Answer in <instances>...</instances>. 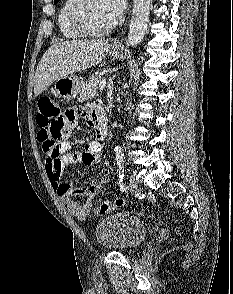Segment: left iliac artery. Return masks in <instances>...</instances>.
Masks as SVG:
<instances>
[{"label":"left iliac artery","mask_w":233,"mask_h":294,"mask_svg":"<svg viewBox=\"0 0 233 294\" xmlns=\"http://www.w3.org/2000/svg\"><path fill=\"white\" fill-rule=\"evenodd\" d=\"M119 187L122 191H126L127 190V187L126 185L124 184L123 180H124V177H125V174H124V167L123 165L119 164Z\"/></svg>","instance_id":"left-iliac-artery-1"}]
</instances>
